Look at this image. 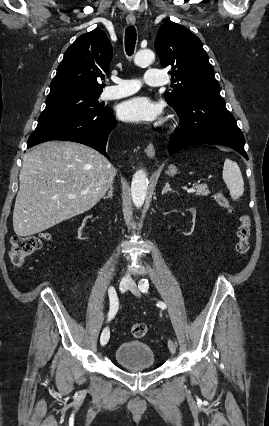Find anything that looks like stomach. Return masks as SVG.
I'll return each instance as SVG.
<instances>
[{
  "mask_svg": "<svg viewBox=\"0 0 269 426\" xmlns=\"http://www.w3.org/2000/svg\"><path fill=\"white\" fill-rule=\"evenodd\" d=\"M166 173H167L169 176H173V175H175V174L177 173V168H176V166H175V165H170V166L168 167V170L166 171Z\"/></svg>",
  "mask_w": 269,
  "mask_h": 426,
  "instance_id": "obj_1",
  "label": "stomach"
}]
</instances>
